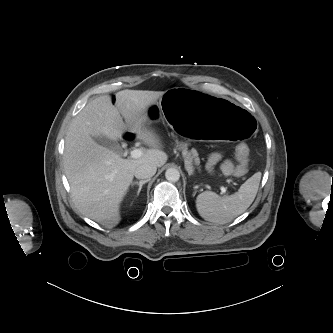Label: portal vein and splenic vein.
<instances>
[{
    "label": "portal vein and splenic vein",
    "mask_w": 333,
    "mask_h": 333,
    "mask_svg": "<svg viewBox=\"0 0 333 333\" xmlns=\"http://www.w3.org/2000/svg\"><path fill=\"white\" fill-rule=\"evenodd\" d=\"M132 158H140L143 155V151L141 149H134L133 151H131L130 153ZM221 192L222 194L226 193V189L224 187L221 188Z\"/></svg>",
    "instance_id": "obj_1"
}]
</instances>
